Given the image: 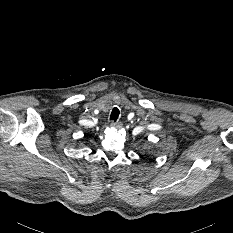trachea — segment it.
Masks as SVG:
<instances>
[{"mask_svg": "<svg viewBox=\"0 0 233 233\" xmlns=\"http://www.w3.org/2000/svg\"><path fill=\"white\" fill-rule=\"evenodd\" d=\"M119 114H120L119 109L117 107H114L110 115V120H113L114 122H116V120L119 117Z\"/></svg>", "mask_w": 233, "mask_h": 233, "instance_id": "obj_1", "label": "trachea"}]
</instances>
